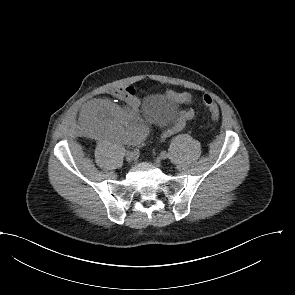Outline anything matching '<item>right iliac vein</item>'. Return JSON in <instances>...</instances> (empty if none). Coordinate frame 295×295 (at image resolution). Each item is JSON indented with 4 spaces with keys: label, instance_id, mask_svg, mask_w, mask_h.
Returning <instances> with one entry per match:
<instances>
[{
    "label": "right iliac vein",
    "instance_id": "right-iliac-vein-1",
    "mask_svg": "<svg viewBox=\"0 0 295 295\" xmlns=\"http://www.w3.org/2000/svg\"><path fill=\"white\" fill-rule=\"evenodd\" d=\"M135 159V154L133 152L128 151L126 153V160L128 162H132Z\"/></svg>",
    "mask_w": 295,
    "mask_h": 295
}]
</instances>
